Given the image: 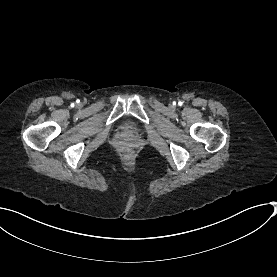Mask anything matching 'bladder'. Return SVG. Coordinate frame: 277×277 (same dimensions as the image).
I'll return each instance as SVG.
<instances>
[{"label":"bladder","instance_id":"obj_1","mask_svg":"<svg viewBox=\"0 0 277 277\" xmlns=\"http://www.w3.org/2000/svg\"><path fill=\"white\" fill-rule=\"evenodd\" d=\"M123 131L127 134H134L137 132V126L135 122L128 121L123 126Z\"/></svg>","mask_w":277,"mask_h":277}]
</instances>
